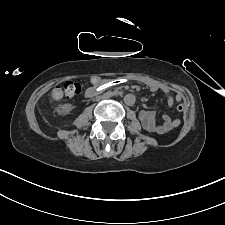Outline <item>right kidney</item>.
<instances>
[{"mask_svg": "<svg viewBox=\"0 0 225 225\" xmlns=\"http://www.w3.org/2000/svg\"><path fill=\"white\" fill-rule=\"evenodd\" d=\"M72 109H73V106L71 104H63L56 108V112L59 115H67L70 113V111H72Z\"/></svg>", "mask_w": 225, "mask_h": 225, "instance_id": "ca27d5eb", "label": "right kidney"}]
</instances>
